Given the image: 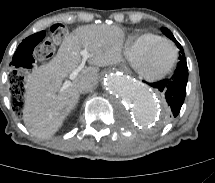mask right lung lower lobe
<instances>
[{
	"instance_id": "1",
	"label": "right lung lower lobe",
	"mask_w": 215,
	"mask_h": 183,
	"mask_svg": "<svg viewBox=\"0 0 215 183\" xmlns=\"http://www.w3.org/2000/svg\"><path fill=\"white\" fill-rule=\"evenodd\" d=\"M18 92H19V89H17L16 91L14 89V91H13V93H14L15 96L17 95Z\"/></svg>"
}]
</instances>
